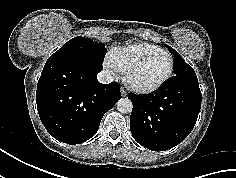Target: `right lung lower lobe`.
Segmentation results:
<instances>
[{
  "instance_id": "right-lung-lower-lobe-1",
  "label": "right lung lower lobe",
  "mask_w": 236,
  "mask_h": 178,
  "mask_svg": "<svg viewBox=\"0 0 236 178\" xmlns=\"http://www.w3.org/2000/svg\"><path fill=\"white\" fill-rule=\"evenodd\" d=\"M102 68L91 57L47 60L37 84L36 103L52 137L73 145L95 135L103 115L121 98L116 82H98Z\"/></svg>"
}]
</instances>
